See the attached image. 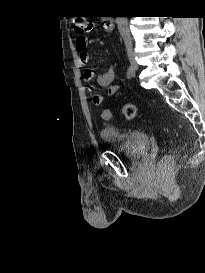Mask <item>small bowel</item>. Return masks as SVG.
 Instances as JSON below:
<instances>
[{
    "label": "small bowel",
    "mask_w": 205,
    "mask_h": 273,
    "mask_svg": "<svg viewBox=\"0 0 205 273\" xmlns=\"http://www.w3.org/2000/svg\"><path fill=\"white\" fill-rule=\"evenodd\" d=\"M92 43H94V40L88 39L85 36H78L76 38L75 48L79 54V63L82 66L88 62L89 55H88L87 47L89 44H92ZM82 77L86 83H91L95 79V74L92 70L88 69L84 71ZM114 79H115V69L113 66H109L104 74L97 77V83L100 86L105 87L107 89L108 96L115 95L120 89V86L118 84L113 83ZM90 92L92 95V103L95 106L102 105L104 102V96L96 92V90L92 87L90 88Z\"/></svg>",
    "instance_id": "small-bowel-1"
}]
</instances>
